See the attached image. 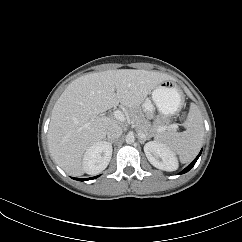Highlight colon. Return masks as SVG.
Masks as SVG:
<instances>
[{
    "mask_svg": "<svg viewBox=\"0 0 242 242\" xmlns=\"http://www.w3.org/2000/svg\"><path fill=\"white\" fill-rule=\"evenodd\" d=\"M185 118V116H182V119H184Z\"/></svg>",
    "mask_w": 242,
    "mask_h": 242,
    "instance_id": "colon-1",
    "label": "colon"
}]
</instances>
